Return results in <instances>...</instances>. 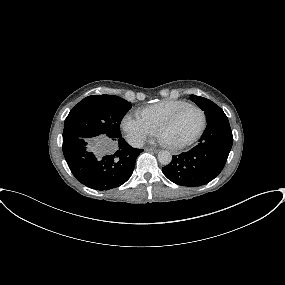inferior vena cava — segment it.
<instances>
[{"label":"inferior vena cava","mask_w":285,"mask_h":285,"mask_svg":"<svg viewBox=\"0 0 285 285\" xmlns=\"http://www.w3.org/2000/svg\"><path fill=\"white\" fill-rule=\"evenodd\" d=\"M127 141L134 148H141L144 145V141L141 138L135 136H129L127 138Z\"/></svg>","instance_id":"obj_1"}]
</instances>
